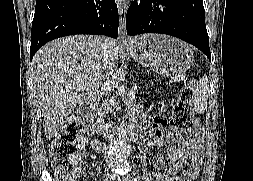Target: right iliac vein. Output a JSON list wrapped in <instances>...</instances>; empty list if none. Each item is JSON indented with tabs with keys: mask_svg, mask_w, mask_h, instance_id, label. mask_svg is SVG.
Segmentation results:
<instances>
[{
	"mask_svg": "<svg viewBox=\"0 0 253 181\" xmlns=\"http://www.w3.org/2000/svg\"><path fill=\"white\" fill-rule=\"evenodd\" d=\"M111 179H113V177L111 175H107L104 179V181H111Z\"/></svg>",
	"mask_w": 253,
	"mask_h": 181,
	"instance_id": "1",
	"label": "right iliac vein"
}]
</instances>
